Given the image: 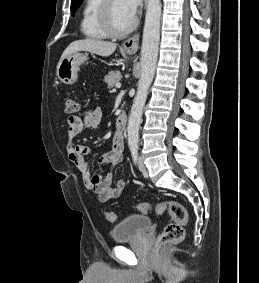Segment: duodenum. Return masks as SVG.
<instances>
[{"mask_svg":"<svg viewBox=\"0 0 259 283\" xmlns=\"http://www.w3.org/2000/svg\"><path fill=\"white\" fill-rule=\"evenodd\" d=\"M126 126H127V117L126 115L122 114L116 120L117 135H122L126 130Z\"/></svg>","mask_w":259,"mask_h":283,"instance_id":"1","label":"duodenum"}]
</instances>
